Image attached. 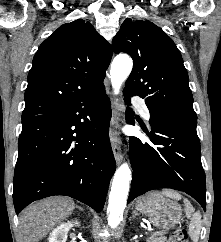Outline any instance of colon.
<instances>
[{"instance_id": "5ec220e1", "label": "colon", "mask_w": 221, "mask_h": 242, "mask_svg": "<svg viewBox=\"0 0 221 242\" xmlns=\"http://www.w3.org/2000/svg\"><path fill=\"white\" fill-rule=\"evenodd\" d=\"M169 242H189L187 231L183 228H178L173 231Z\"/></svg>"}]
</instances>
